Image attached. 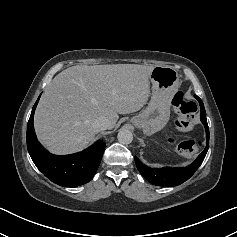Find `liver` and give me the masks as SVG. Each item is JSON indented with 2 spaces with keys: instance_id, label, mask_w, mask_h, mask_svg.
Masks as SVG:
<instances>
[{
  "instance_id": "liver-1",
  "label": "liver",
  "mask_w": 237,
  "mask_h": 237,
  "mask_svg": "<svg viewBox=\"0 0 237 237\" xmlns=\"http://www.w3.org/2000/svg\"><path fill=\"white\" fill-rule=\"evenodd\" d=\"M153 66L77 65L56 75L34 116L38 139L55 154L87 146L97 134L93 122L106 117L112 129L118 114L140 110L147 102Z\"/></svg>"
}]
</instances>
